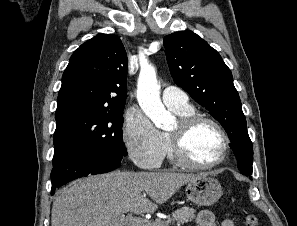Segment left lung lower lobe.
Listing matches in <instances>:
<instances>
[{
    "instance_id": "obj_1",
    "label": "left lung lower lobe",
    "mask_w": 297,
    "mask_h": 226,
    "mask_svg": "<svg viewBox=\"0 0 297 226\" xmlns=\"http://www.w3.org/2000/svg\"><path fill=\"white\" fill-rule=\"evenodd\" d=\"M243 175L250 176V175H248L247 173H243Z\"/></svg>"
}]
</instances>
